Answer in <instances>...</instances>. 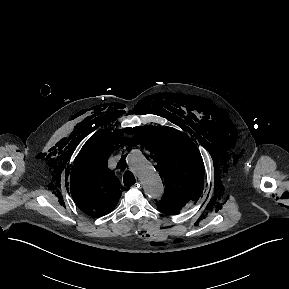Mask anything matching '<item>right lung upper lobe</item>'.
<instances>
[{
    "label": "right lung upper lobe",
    "mask_w": 289,
    "mask_h": 289,
    "mask_svg": "<svg viewBox=\"0 0 289 289\" xmlns=\"http://www.w3.org/2000/svg\"><path fill=\"white\" fill-rule=\"evenodd\" d=\"M123 133L94 135L82 147L71 171L70 192L85 214L100 217L110 213L124 190L114 173L107 168V158L116 148L127 144Z\"/></svg>",
    "instance_id": "cb5924a9"
}]
</instances>
